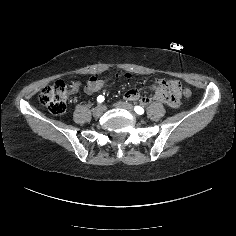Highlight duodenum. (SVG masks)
I'll return each instance as SVG.
<instances>
[{
    "mask_svg": "<svg viewBox=\"0 0 236 236\" xmlns=\"http://www.w3.org/2000/svg\"><path fill=\"white\" fill-rule=\"evenodd\" d=\"M156 102H164L171 107L178 105V96L175 93V87L168 83H160L157 92L142 100L144 105H150Z\"/></svg>",
    "mask_w": 236,
    "mask_h": 236,
    "instance_id": "410a0bca",
    "label": "duodenum"
}]
</instances>
